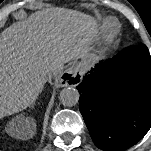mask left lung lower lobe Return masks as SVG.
<instances>
[{
	"instance_id": "obj_1",
	"label": "left lung lower lobe",
	"mask_w": 151,
	"mask_h": 151,
	"mask_svg": "<svg viewBox=\"0 0 151 151\" xmlns=\"http://www.w3.org/2000/svg\"><path fill=\"white\" fill-rule=\"evenodd\" d=\"M79 105L99 149L124 151L151 127V56L146 45L126 47L97 64L77 86Z\"/></svg>"
}]
</instances>
